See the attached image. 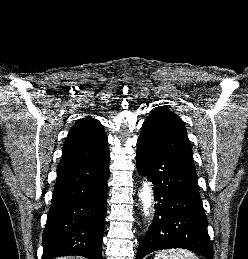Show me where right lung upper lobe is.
<instances>
[{
	"label": "right lung upper lobe",
	"instance_id": "1",
	"mask_svg": "<svg viewBox=\"0 0 248 259\" xmlns=\"http://www.w3.org/2000/svg\"><path fill=\"white\" fill-rule=\"evenodd\" d=\"M108 151V140L101 123L89 117L80 119L69 131L58 167L98 159Z\"/></svg>",
	"mask_w": 248,
	"mask_h": 259
}]
</instances>
